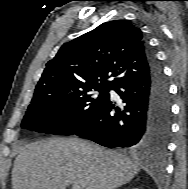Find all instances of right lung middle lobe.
<instances>
[{"label": "right lung middle lobe", "instance_id": "obj_1", "mask_svg": "<svg viewBox=\"0 0 188 189\" xmlns=\"http://www.w3.org/2000/svg\"><path fill=\"white\" fill-rule=\"evenodd\" d=\"M109 90L105 87H90L36 94L28 106L21 127L47 134L73 135L102 106Z\"/></svg>", "mask_w": 188, "mask_h": 189}]
</instances>
